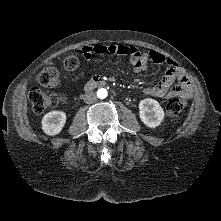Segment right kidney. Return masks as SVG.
<instances>
[{
	"instance_id": "ca27d5eb",
	"label": "right kidney",
	"mask_w": 221,
	"mask_h": 221,
	"mask_svg": "<svg viewBox=\"0 0 221 221\" xmlns=\"http://www.w3.org/2000/svg\"><path fill=\"white\" fill-rule=\"evenodd\" d=\"M66 123V114L62 111H52L44 115L42 130L49 136L59 134Z\"/></svg>"
}]
</instances>
